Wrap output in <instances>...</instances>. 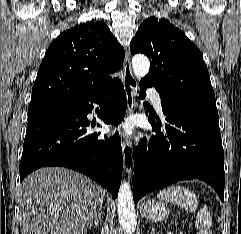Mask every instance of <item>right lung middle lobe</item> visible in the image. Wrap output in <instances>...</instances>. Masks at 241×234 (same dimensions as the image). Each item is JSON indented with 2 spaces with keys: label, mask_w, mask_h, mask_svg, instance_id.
<instances>
[{
  "label": "right lung middle lobe",
  "mask_w": 241,
  "mask_h": 234,
  "mask_svg": "<svg viewBox=\"0 0 241 234\" xmlns=\"http://www.w3.org/2000/svg\"><path fill=\"white\" fill-rule=\"evenodd\" d=\"M64 105H66V104H64V103H43V104L29 105L28 112L29 113L39 112V111L62 107Z\"/></svg>",
  "instance_id": "obj_1"
}]
</instances>
